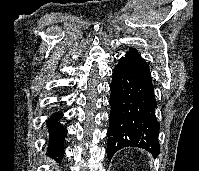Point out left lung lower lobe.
Listing matches in <instances>:
<instances>
[{"mask_svg":"<svg viewBox=\"0 0 199 171\" xmlns=\"http://www.w3.org/2000/svg\"><path fill=\"white\" fill-rule=\"evenodd\" d=\"M107 155L124 147L160 153V125L155 116L157 102L147 62L131 48L113 70Z\"/></svg>","mask_w":199,"mask_h":171,"instance_id":"1","label":"left lung lower lobe"}]
</instances>
